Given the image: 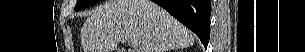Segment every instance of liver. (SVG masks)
<instances>
[{
	"label": "liver",
	"mask_w": 305,
	"mask_h": 52,
	"mask_svg": "<svg viewBox=\"0 0 305 52\" xmlns=\"http://www.w3.org/2000/svg\"><path fill=\"white\" fill-rule=\"evenodd\" d=\"M133 41L127 52H168L195 42L193 34L149 0H108L94 9L81 28L84 52H114Z\"/></svg>",
	"instance_id": "1"
}]
</instances>
